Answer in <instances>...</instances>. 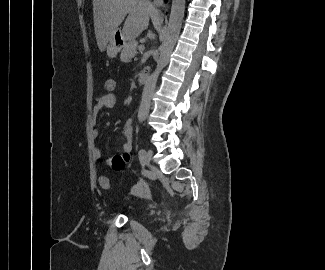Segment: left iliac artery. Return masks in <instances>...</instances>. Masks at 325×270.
Masks as SVG:
<instances>
[{
	"label": "left iliac artery",
	"instance_id": "44dca946",
	"mask_svg": "<svg viewBox=\"0 0 325 270\" xmlns=\"http://www.w3.org/2000/svg\"><path fill=\"white\" fill-rule=\"evenodd\" d=\"M145 154H146L145 149H140V150H139L138 156H139V159H140L141 161L144 160V156H145Z\"/></svg>",
	"mask_w": 325,
	"mask_h": 270
}]
</instances>
